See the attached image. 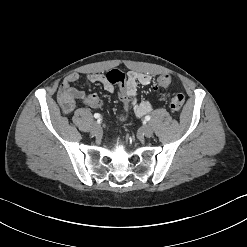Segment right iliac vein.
I'll list each match as a JSON object with an SVG mask.
<instances>
[{"mask_svg":"<svg viewBox=\"0 0 247 247\" xmlns=\"http://www.w3.org/2000/svg\"><path fill=\"white\" fill-rule=\"evenodd\" d=\"M101 131V127L98 123L94 122L91 126V132L93 134H98Z\"/></svg>","mask_w":247,"mask_h":247,"instance_id":"63e3f726","label":"right iliac vein"}]
</instances>
